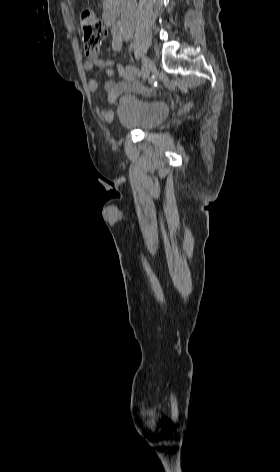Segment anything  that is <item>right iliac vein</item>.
Segmentation results:
<instances>
[{
    "label": "right iliac vein",
    "mask_w": 280,
    "mask_h": 472,
    "mask_svg": "<svg viewBox=\"0 0 280 472\" xmlns=\"http://www.w3.org/2000/svg\"><path fill=\"white\" fill-rule=\"evenodd\" d=\"M153 68H154V64L151 61V59L148 57H144L142 60V70H141L143 80H146L148 78Z\"/></svg>",
    "instance_id": "63e3f726"
}]
</instances>
